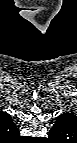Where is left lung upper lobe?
<instances>
[{
    "label": "left lung upper lobe",
    "mask_w": 77,
    "mask_h": 143,
    "mask_svg": "<svg viewBox=\"0 0 77 143\" xmlns=\"http://www.w3.org/2000/svg\"><path fill=\"white\" fill-rule=\"evenodd\" d=\"M73 118L72 116L63 120H57L56 123L51 128L50 132L53 134H63L64 130L67 129V127L72 122Z\"/></svg>",
    "instance_id": "left-lung-upper-lobe-1"
}]
</instances>
